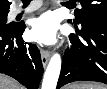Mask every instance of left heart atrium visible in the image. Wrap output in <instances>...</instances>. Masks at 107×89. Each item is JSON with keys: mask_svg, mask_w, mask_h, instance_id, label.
<instances>
[{"mask_svg": "<svg viewBox=\"0 0 107 89\" xmlns=\"http://www.w3.org/2000/svg\"><path fill=\"white\" fill-rule=\"evenodd\" d=\"M31 38L41 44L50 45L56 42L58 22L52 12H46L32 22Z\"/></svg>", "mask_w": 107, "mask_h": 89, "instance_id": "obj_1", "label": "left heart atrium"}]
</instances>
